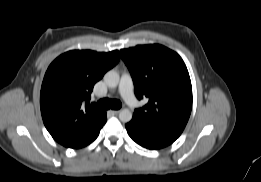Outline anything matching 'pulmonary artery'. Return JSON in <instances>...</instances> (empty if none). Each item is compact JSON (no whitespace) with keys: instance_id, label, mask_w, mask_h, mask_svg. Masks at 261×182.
Returning <instances> with one entry per match:
<instances>
[{"instance_id":"obj_1","label":"pulmonary artery","mask_w":261,"mask_h":182,"mask_svg":"<svg viewBox=\"0 0 261 182\" xmlns=\"http://www.w3.org/2000/svg\"><path fill=\"white\" fill-rule=\"evenodd\" d=\"M118 91L128 105H136L137 100L133 93V81L129 73L122 74Z\"/></svg>"}]
</instances>
